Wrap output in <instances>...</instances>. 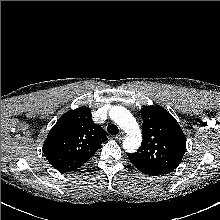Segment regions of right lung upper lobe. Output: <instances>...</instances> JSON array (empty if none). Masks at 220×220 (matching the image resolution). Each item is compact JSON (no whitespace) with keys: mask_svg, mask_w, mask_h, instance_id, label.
Here are the masks:
<instances>
[{"mask_svg":"<svg viewBox=\"0 0 220 220\" xmlns=\"http://www.w3.org/2000/svg\"><path fill=\"white\" fill-rule=\"evenodd\" d=\"M105 130L91 118V109L79 107L60 117L43 145L49 163L60 172H71L91 158L102 142Z\"/></svg>","mask_w":220,"mask_h":220,"instance_id":"obj_1","label":"right lung upper lobe"}]
</instances>
